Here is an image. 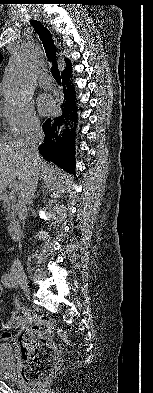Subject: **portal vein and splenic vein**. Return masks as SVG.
Instances as JSON below:
<instances>
[{"label": "portal vein and splenic vein", "mask_w": 153, "mask_h": 393, "mask_svg": "<svg viewBox=\"0 0 153 393\" xmlns=\"http://www.w3.org/2000/svg\"><path fill=\"white\" fill-rule=\"evenodd\" d=\"M21 185H22V184L14 183V184L12 185V189H13V190H18V189L21 187Z\"/></svg>", "instance_id": "portal-vein-and-splenic-vein-1"}]
</instances>
